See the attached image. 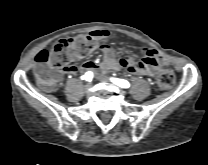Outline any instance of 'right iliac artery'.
Wrapping results in <instances>:
<instances>
[{
	"mask_svg": "<svg viewBox=\"0 0 208 165\" xmlns=\"http://www.w3.org/2000/svg\"><path fill=\"white\" fill-rule=\"evenodd\" d=\"M82 78L86 79L87 81H92L93 73L92 72H87Z\"/></svg>",
	"mask_w": 208,
	"mask_h": 165,
	"instance_id": "obj_1",
	"label": "right iliac artery"
}]
</instances>
